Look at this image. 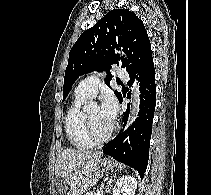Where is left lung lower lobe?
Segmentation results:
<instances>
[{
  "label": "left lung lower lobe",
  "instance_id": "left-lung-lower-lobe-1",
  "mask_svg": "<svg viewBox=\"0 0 211 195\" xmlns=\"http://www.w3.org/2000/svg\"><path fill=\"white\" fill-rule=\"evenodd\" d=\"M137 74V75H136ZM129 85L133 84L134 76L140 82V110L138 118L125 132L120 133L103 149V152L117 161L134 167L141 178L147 168L152 123L156 105L155 68L153 59L148 60L140 69L130 75ZM130 98V94H128ZM122 102V96L120 98ZM130 105L124 113L125 123L128 120Z\"/></svg>",
  "mask_w": 211,
  "mask_h": 195
}]
</instances>
